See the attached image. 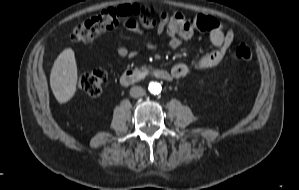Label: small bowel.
Instances as JSON below:
<instances>
[{
	"label": "small bowel",
	"mask_w": 299,
	"mask_h": 190,
	"mask_svg": "<svg viewBox=\"0 0 299 190\" xmlns=\"http://www.w3.org/2000/svg\"><path fill=\"white\" fill-rule=\"evenodd\" d=\"M203 18L204 28L199 26L198 20L186 18L182 14L165 16L162 20L144 15L136 18H127L124 20V24L130 29H135L139 24L147 28L165 29L171 36L170 45L173 48L179 47L182 43V38L191 36L195 27L199 26L201 29L211 32V41L214 46L219 48L208 60L209 65H217L221 62L226 53L228 42L225 40L222 28L216 19L211 16H205ZM119 54L122 57L129 56V52L125 49L120 50ZM188 73L189 66L184 63L178 64L173 70V74L176 77H184Z\"/></svg>",
	"instance_id": "obj_1"
}]
</instances>
